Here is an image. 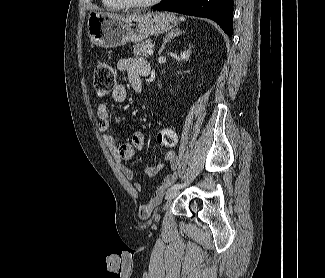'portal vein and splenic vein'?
Listing matches in <instances>:
<instances>
[{
	"label": "portal vein and splenic vein",
	"instance_id": "portal-vein-and-splenic-vein-1",
	"mask_svg": "<svg viewBox=\"0 0 325 278\" xmlns=\"http://www.w3.org/2000/svg\"><path fill=\"white\" fill-rule=\"evenodd\" d=\"M153 53H154L153 49L150 48V49L148 50V54H149V55H153Z\"/></svg>",
	"mask_w": 325,
	"mask_h": 278
}]
</instances>
